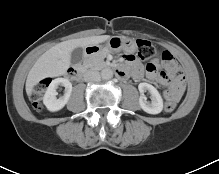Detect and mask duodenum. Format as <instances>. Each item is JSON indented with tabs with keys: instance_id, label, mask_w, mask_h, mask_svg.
I'll return each instance as SVG.
<instances>
[{
	"instance_id": "obj_1",
	"label": "duodenum",
	"mask_w": 219,
	"mask_h": 174,
	"mask_svg": "<svg viewBox=\"0 0 219 174\" xmlns=\"http://www.w3.org/2000/svg\"><path fill=\"white\" fill-rule=\"evenodd\" d=\"M98 52H99V48L97 47L88 48L85 52L84 59L86 60L90 55L96 54ZM104 67H108V65H104ZM84 71L85 69L83 66L72 67L68 70V75L73 79H80L82 78ZM115 72L116 75L120 78L125 79L127 77V73L122 68H116Z\"/></svg>"
}]
</instances>
